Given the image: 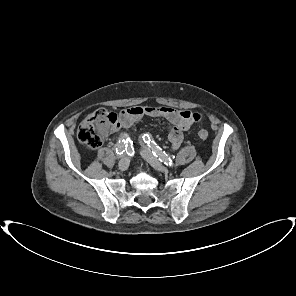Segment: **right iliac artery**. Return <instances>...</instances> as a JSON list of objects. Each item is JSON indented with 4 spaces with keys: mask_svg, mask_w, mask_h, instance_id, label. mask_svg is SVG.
Returning a JSON list of instances; mask_svg holds the SVG:
<instances>
[{
    "mask_svg": "<svg viewBox=\"0 0 296 296\" xmlns=\"http://www.w3.org/2000/svg\"><path fill=\"white\" fill-rule=\"evenodd\" d=\"M126 144H125V139H120L117 143V147H116V153L117 155H122L124 153V148H125Z\"/></svg>",
    "mask_w": 296,
    "mask_h": 296,
    "instance_id": "1",
    "label": "right iliac artery"
}]
</instances>
